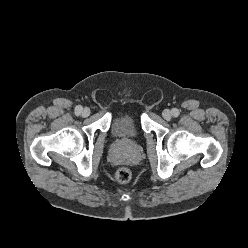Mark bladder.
<instances>
[{"mask_svg":"<svg viewBox=\"0 0 248 248\" xmlns=\"http://www.w3.org/2000/svg\"><path fill=\"white\" fill-rule=\"evenodd\" d=\"M111 134L124 142H131L138 138L139 128L129 114H119L112 118L110 124Z\"/></svg>","mask_w":248,"mask_h":248,"instance_id":"1","label":"bladder"}]
</instances>
